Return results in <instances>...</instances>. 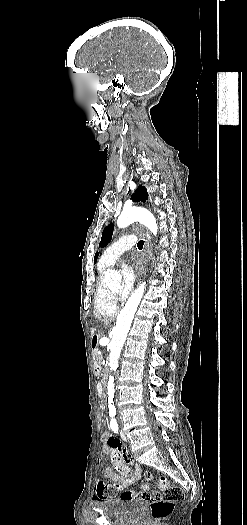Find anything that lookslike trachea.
<instances>
[{
  "instance_id": "1",
  "label": "trachea",
  "mask_w": 247,
  "mask_h": 525,
  "mask_svg": "<svg viewBox=\"0 0 247 525\" xmlns=\"http://www.w3.org/2000/svg\"><path fill=\"white\" fill-rule=\"evenodd\" d=\"M144 240H140L138 243H137V247L139 248V250H142V248L144 247Z\"/></svg>"
}]
</instances>
